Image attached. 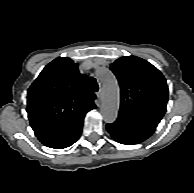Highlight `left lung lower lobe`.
<instances>
[{
  "mask_svg": "<svg viewBox=\"0 0 194 193\" xmlns=\"http://www.w3.org/2000/svg\"><path fill=\"white\" fill-rule=\"evenodd\" d=\"M106 129L115 141L133 145L149 138L156 126L119 114L114 123L106 125Z\"/></svg>",
  "mask_w": 194,
  "mask_h": 193,
  "instance_id": "left-lung-lower-lobe-1",
  "label": "left lung lower lobe"
}]
</instances>
